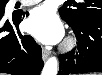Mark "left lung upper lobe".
<instances>
[{
  "mask_svg": "<svg viewBox=\"0 0 102 75\" xmlns=\"http://www.w3.org/2000/svg\"><path fill=\"white\" fill-rule=\"evenodd\" d=\"M59 13L69 23L78 19L102 18V0H68L59 9Z\"/></svg>",
  "mask_w": 102,
  "mask_h": 75,
  "instance_id": "left-lung-upper-lobe-1",
  "label": "left lung upper lobe"
}]
</instances>
